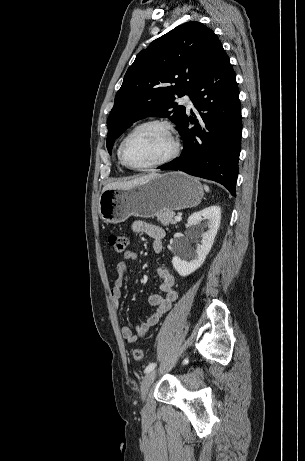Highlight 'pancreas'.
Masks as SVG:
<instances>
[{
	"instance_id": "pancreas-1",
	"label": "pancreas",
	"mask_w": 305,
	"mask_h": 461,
	"mask_svg": "<svg viewBox=\"0 0 305 461\" xmlns=\"http://www.w3.org/2000/svg\"><path fill=\"white\" fill-rule=\"evenodd\" d=\"M157 220L164 226L176 224L175 213L173 211H163L156 214Z\"/></svg>"
}]
</instances>
